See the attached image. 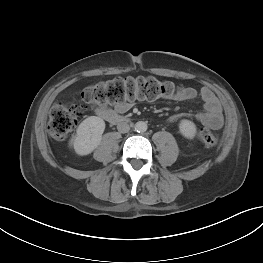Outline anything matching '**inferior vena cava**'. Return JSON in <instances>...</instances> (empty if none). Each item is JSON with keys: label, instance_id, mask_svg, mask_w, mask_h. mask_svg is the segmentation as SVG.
<instances>
[{"label": "inferior vena cava", "instance_id": "inferior-vena-cava-1", "mask_svg": "<svg viewBox=\"0 0 263 263\" xmlns=\"http://www.w3.org/2000/svg\"><path fill=\"white\" fill-rule=\"evenodd\" d=\"M117 129L120 133H127L130 130V126L127 122H120L117 125Z\"/></svg>", "mask_w": 263, "mask_h": 263}]
</instances>
